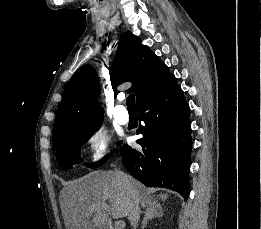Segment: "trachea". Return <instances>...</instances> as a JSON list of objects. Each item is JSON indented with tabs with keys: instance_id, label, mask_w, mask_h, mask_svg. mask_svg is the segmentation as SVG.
I'll return each mask as SVG.
<instances>
[{
	"instance_id": "1",
	"label": "trachea",
	"mask_w": 261,
	"mask_h": 229,
	"mask_svg": "<svg viewBox=\"0 0 261 229\" xmlns=\"http://www.w3.org/2000/svg\"><path fill=\"white\" fill-rule=\"evenodd\" d=\"M126 104L129 112H137L135 96L133 94L129 95V97L126 100Z\"/></svg>"
}]
</instances>
